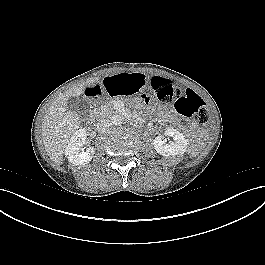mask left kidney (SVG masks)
<instances>
[{"mask_svg":"<svg viewBox=\"0 0 265 265\" xmlns=\"http://www.w3.org/2000/svg\"><path fill=\"white\" fill-rule=\"evenodd\" d=\"M166 136L173 138V141L167 143L163 140V136L155 137L153 145L157 153L162 156H175L178 154H184L187 149V141L182 133L176 129L169 128L164 133Z\"/></svg>","mask_w":265,"mask_h":265,"instance_id":"5707ae66","label":"left kidney"}]
</instances>
